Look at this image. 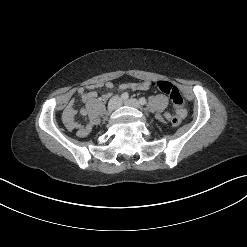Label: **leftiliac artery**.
Instances as JSON below:
<instances>
[{
  "instance_id": "44dca946",
  "label": "left iliac artery",
  "mask_w": 247,
  "mask_h": 247,
  "mask_svg": "<svg viewBox=\"0 0 247 247\" xmlns=\"http://www.w3.org/2000/svg\"><path fill=\"white\" fill-rule=\"evenodd\" d=\"M139 103H140L141 105H145V104H146V99L143 98V97H141V98L139 99Z\"/></svg>"
}]
</instances>
